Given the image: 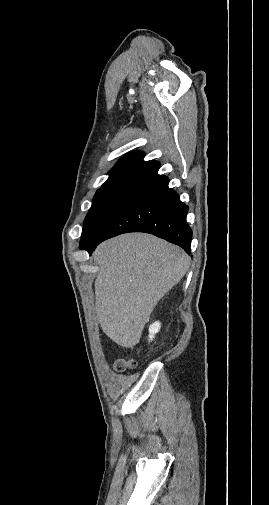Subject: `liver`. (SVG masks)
<instances>
[{"mask_svg":"<svg viewBox=\"0 0 269 505\" xmlns=\"http://www.w3.org/2000/svg\"><path fill=\"white\" fill-rule=\"evenodd\" d=\"M100 267L95 308L103 332L132 348L158 301L190 266L178 246L144 233H127L101 243L94 253Z\"/></svg>","mask_w":269,"mask_h":505,"instance_id":"1","label":"liver"}]
</instances>
